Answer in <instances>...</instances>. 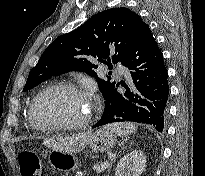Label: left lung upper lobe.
<instances>
[{"instance_id": "1", "label": "left lung upper lobe", "mask_w": 205, "mask_h": 176, "mask_svg": "<svg viewBox=\"0 0 205 176\" xmlns=\"http://www.w3.org/2000/svg\"><path fill=\"white\" fill-rule=\"evenodd\" d=\"M146 24L140 16L127 8H112L100 12L76 30L57 37L43 52L37 65L30 71L23 91L52 76L69 71H83L97 76L96 61L112 69L121 62ZM108 60V63L105 61ZM99 89L106 97L114 88L110 78H98Z\"/></svg>"}]
</instances>
